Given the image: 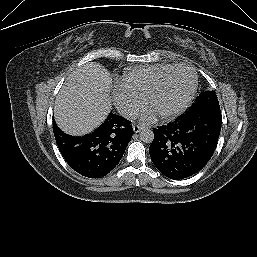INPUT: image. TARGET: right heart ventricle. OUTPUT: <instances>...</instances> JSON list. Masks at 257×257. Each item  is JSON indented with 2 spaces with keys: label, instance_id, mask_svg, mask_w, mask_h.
I'll return each mask as SVG.
<instances>
[{
  "label": "right heart ventricle",
  "instance_id": "e07e8e85",
  "mask_svg": "<svg viewBox=\"0 0 257 257\" xmlns=\"http://www.w3.org/2000/svg\"><path fill=\"white\" fill-rule=\"evenodd\" d=\"M173 64H154L128 69L119 81V86L142 98H146L149 90L158 77Z\"/></svg>",
  "mask_w": 257,
  "mask_h": 257
}]
</instances>
